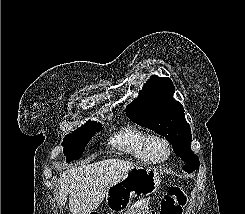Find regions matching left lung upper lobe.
I'll list each match as a JSON object with an SVG mask.
<instances>
[{
    "label": "left lung upper lobe",
    "mask_w": 245,
    "mask_h": 214,
    "mask_svg": "<svg viewBox=\"0 0 245 214\" xmlns=\"http://www.w3.org/2000/svg\"><path fill=\"white\" fill-rule=\"evenodd\" d=\"M174 92L170 78L152 76L126 111L133 122L165 136L185 162L182 169L191 173L199 167V158L191 150L190 125L182 104L173 98Z\"/></svg>",
    "instance_id": "obj_1"
}]
</instances>
